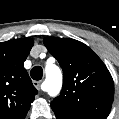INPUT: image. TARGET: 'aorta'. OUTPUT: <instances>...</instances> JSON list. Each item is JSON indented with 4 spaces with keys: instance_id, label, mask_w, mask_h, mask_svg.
Here are the masks:
<instances>
[{
    "instance_id": "aorta-1",
    "label": "aorta",
    "mask_w": 119,
    "mask_h": 119,
    "mask_svg": "<svg viewBox=\"0 0 119 119\" xmlns=\"http://www.w3.org/2000/svg\"><path fill=\"white\" fill-rule=\"evenodd\" d=\"M45 86L46 91L50 96H56L61 90L62 86V73L58 66L47 65L45 68Z\"/></svg>"
}]
</instances>
